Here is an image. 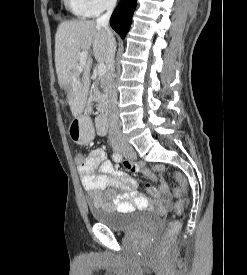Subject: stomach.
Returning <instances> with one entry per match:
<instances>
[{
  "label": "stomach",
  "mask_w": 247,
  "mask_h": 275,
  "mask_svg": "<svg viewBox=\"0 0 247 275\" xmlns=\"http://www.w3.org/2000/svg\"><path fill=\"white\" fill-rule=\"evenodd\" d=\"M70 138L77 144H86L93 138L89 124H83L79 119L73 120L69 128Z\"/></svg>",
  "instance_id": "0dacf381"
}]
</instances>
